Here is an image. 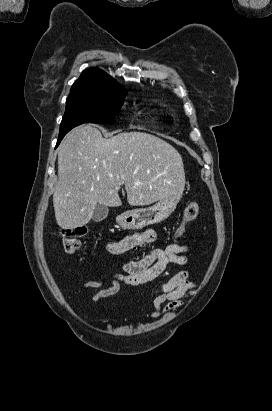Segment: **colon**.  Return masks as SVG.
<instances>
[{"label":"colon","mask_w":272,"mask_h":411,"mask_svg":"<svg viewBox=\"0 0 272 411\" xmlns=\"http://www.w3.org/2000/svg\"><path fill=\"white\" fill-rule=\"evenodd\" d=\"M199 213V205L196 202L188 203L183 211L182 220L176 229V235L180 236L185 231L186 227L191 224ZM88 228L80 226L75 229H62L61 236L63 248L68 254H75L81 247L82 240L88 235Z\"/></svg>","instance_id":"5ec220e1"}]
</instances>
